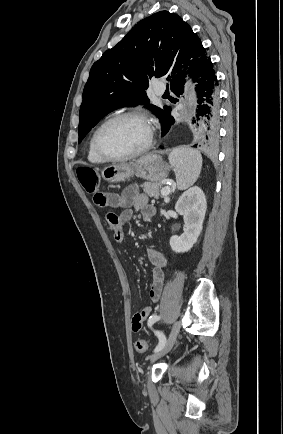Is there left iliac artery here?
I'll return each instance as SVG.
<instances>
[{"label":"left iliac artery","instance_id":"1","mask_svg":"<svg viewBox=\"0 0 283 434\" xmlns=\"http://www.w3.org/2000/svg\"><path fill=\"white\" fill-rule=\"evenodd\" d=\"M158 320H160V316H158V315H154V316H152V317L149 319V321H148V325H149V326H152V325H153L155 322H157ZM155 334H156V336H157L158 339H159V343H158V345L156 346V348L154 349V352H157V351H159L160 349H162V348L164 347V345H165V343H166V337H165L164 333L161 332V331H155Z\"/></svg>","mask_w":283,"mask_h":434}]
</instances>
